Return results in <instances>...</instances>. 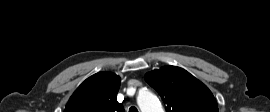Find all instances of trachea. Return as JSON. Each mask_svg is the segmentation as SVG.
I'll list each match as a JSON object with an SVG mask.
<instances>
[{
    "instance_id": "obj_1",
    "label": "trachea",
    "mask_w": 270,
    "mask_h": 112,
    "mask_svg": "<svg viewBox=\"0 0 270 112\" xmlns=\"http://www.w3.org/2000/svg\"><path fill=\"white\" fill-rule=\"evenodd\" d=\"M129 112H138V109L134 106L130 107Z\"/></svg>"
}]
</instances>
